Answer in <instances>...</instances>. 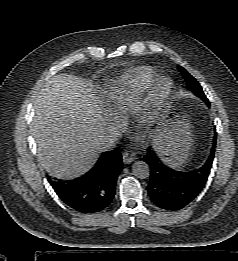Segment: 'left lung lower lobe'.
I'll return each instance as SVG.
<instances>
[{
	"label": "left lung lower lobe",
	"instance_id": "1",
	"mask_svg": "<svg viewBox=\"0 0 238 261\" xmlns=\"http://www.w3.org/2000/svg\"><path fill=\"white\" fill-rule=\"evenodd\" d=\"M209 105L208 99L205 100ZM216 147L214 136L211 153L205 163L196 169L177 171L164 165L152 148H148L144 161L150 167L147 186L150 199L158 207L176 211L187 206L201 192L210 174Z\"/></svg>",
	"mask_w": 238,
	"mask_h": 261
}]
</instances>
